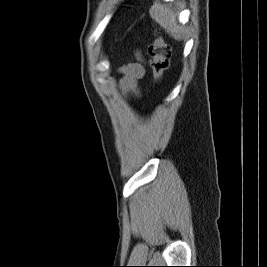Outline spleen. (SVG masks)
Instances as JSON below:
<instances>
[{
	"label": "spleen",
	"instance_id": "3e777b00",
	"mask_svg": "<svg viewBox=\"0 0 267 267\" xmlns=\"http://www.w3.org/2000/svg\"><path fill=\"white\" fill-rule=\"evenodd\" d=\"M150 16L163 27L174 39L180 41L184 36V28L178 22L177 13L168 5L157 0L151 7Z\"/></svg>",
	"mask_w": 267,
	"mask_h": 267
}]
</instances>
